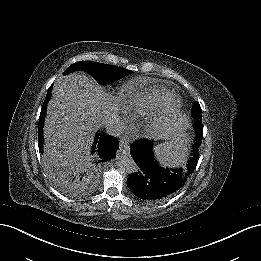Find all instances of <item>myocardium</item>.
<instances>
[{
  "label": "myocardium",
  "mask_w": 261,
  "mask_h": 261,
  "mask_svg": "<svg viewBox=\"0 0 261 261\" xmlns=\"http://www.w3.org/2000/svg\"><path fill=\"white\" fill-rule=\"evenodd\" d=\"M181 107V99L173 95L159 111L144 119L138 129L147 137L165 133L178 117Z\"/></svg>",
  "instance_id": "obj_1"
}]
</instances>
